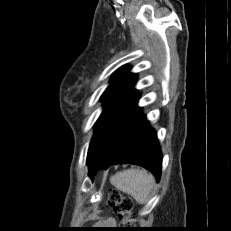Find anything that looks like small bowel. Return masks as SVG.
Wrapping results in <instances>:
<instances>
[{"instance_id": "1", "label": "small bowel", "mask_w": 231, "mask_h": 231, "mask_svg": "<svg viewBox=\"0 0 231 231\" xmlns=\"http://www.w3.org/2000/svg\"><path fill=\"white\" fill-rule=\"evenodd\" d=\"M110 221H111V222H114V220H113V219H111Z\"/></svg>"}]
</instances>
